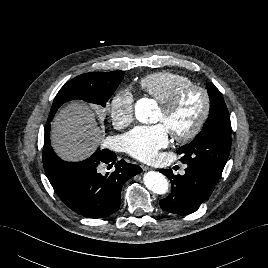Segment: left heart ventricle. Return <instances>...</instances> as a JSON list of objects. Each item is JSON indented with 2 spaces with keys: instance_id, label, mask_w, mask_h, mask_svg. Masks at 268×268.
<instances>
[{
  "instance_id": "left-heart-ventricle-1",
  "label": "left heart ventricle",
  "mask_w": 268,
  "mask_h": 268,
  "mask_svg": "<svg viewBox=\"0 0 268 268\" xmlns=\"http://www.w3.org/2000/svg\"><path fill=\"white\" fill-rule=\"evenodd\" d=\"M203 110V96L198 91L185 94L173 114L165 116L158 110L155 123L163 124L170 134L180 135L189 131Z\"/></svg>"
}]
</instances>
